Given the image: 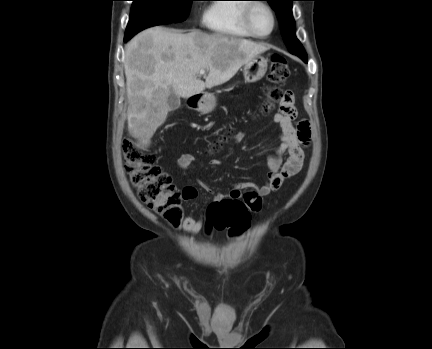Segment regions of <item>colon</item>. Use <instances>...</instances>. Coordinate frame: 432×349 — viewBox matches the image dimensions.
<instances>
[{"label":"colon","mask_w":432,"mask_h":349,"mask_svg":"<svg viewBox=\"0 0 432 349\" xmlns=\"http://www.w3.org/2000/svg\"><path fill=\"white\" fill-rule=\"evenodd\" d=\"M290 74L287 61L280 55H274L268 73L270 85L265 89L266 100L262 109L272 110L275 102H290L292 94L283 91L279 86ZM231 138L227 134L224 139ZM222 140L216 141L211 149L216 152L221 149ZM125 169L132 185L136 188L142 202L163 217L172 226H177L182 218L181 196L177 192L171 176L158 165L156 155L145 152L137 147L133 138H126L122 144ZM209 223L217 230H228L239 233L250 223V210L241 200L223 199L209 207Z\"/></svg>","instance_id":"obj_1"}]
</instances>
